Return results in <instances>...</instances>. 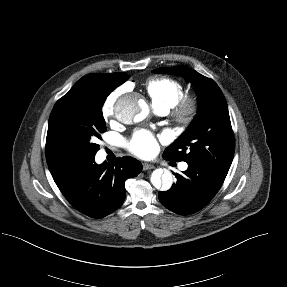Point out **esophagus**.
Wrapping results in <instances>:
<instances>
[{"label": "esophagus", "instance_id": "34e87169", "mask_svg": "<svg viewBox=\"0 0 287 287\" xmlns=\"http://www.w3.org/2000/svg\"><path fill=\"white\" fill-rule=\"evenodd\" d=\"M154 165L152 164H149V163H143V170L146 171V170H150V169H154Z\"/></svg>", "mask_w": 287, "mask_h": 287}]
</instances>
